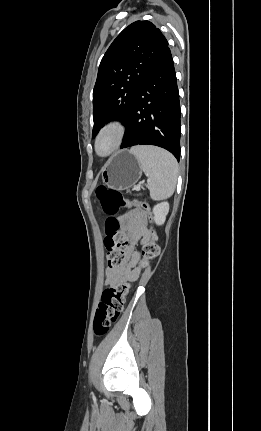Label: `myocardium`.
I'll list each match as a JSON object with an SVG mask.
<instances>
[{
    "mask_svg": "<svg viewBox=\"0 0 261 431\" xmlns=\"http://www.w3.org/2000/svg\"><path fill=\"white\" fill-rule=\"evenodd\" d=\"M125 133L123 123L118 119H113L106 122L98 131L94 139L95 154L101 158H106L112 155L120 147ZM105 137L111 140L110 146L105 151H100L99 144Z\"/></svg>",
    "mask_w": 261,
    "mask_h": 431,
    "instance_id": "myocardium-1",
    "label": "myocardium"
}]
</instances>
